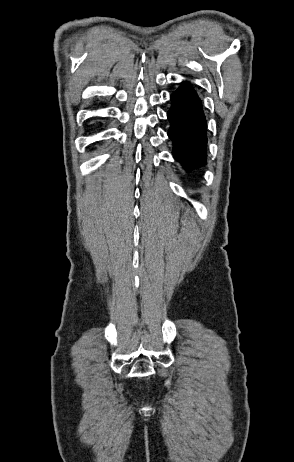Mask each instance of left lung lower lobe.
I'll return each mask as SVG.
<instances>
[{
  "label": "left lung lower lobe",
  "mask_w": 294,
  "mask_h": 462,
  "mask_svg": "<svg viewBox=\"0 0 294 462\" xmlns=\"http://www.w3.org/2000/svg\"><path fill=\"white\" fill-rule=\"evenodd\" d=\"M172 107L167 113L171 127L173 154L185 169L192 170L206 162V120L196 92L187 84L171 95Z\"/></svg>",
  "instance_id": "left-lung-lower-lobe-1"
}]
</instances>
